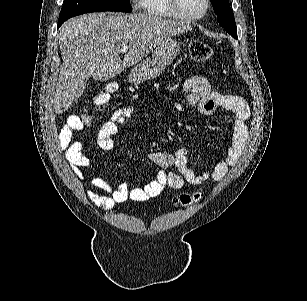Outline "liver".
<instances>
[{"label": "liver", "mask_w": 307, "mask_h": 301, "mask_svg": "<svg viewBox=\"0 0 307 301\" xmlns=\"http://www.w3.org/2000/svg\"><path fill=\"white\" fill-rule=\"evenodd\" d=\"M192 30L154 14L91 12L66 20L58 32L62 64L53 108L62 114L80 98L90 76L110 80L125 68L143 60L163 40ZM120 46H128L121 58Z\"/></svg>", "instance_id": "obj_1"}]
</instances>
